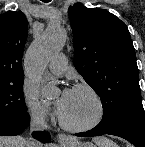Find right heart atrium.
Here are the masks:
<instances>
[{"label":"right heart atrium","mask_w":145,"mask_h":147,"mask_svg":"<svg viewBox=\"0 0 145 147\" xmlns=\"http://www.w3.org/2000/svg\"><path fill=\"white\" fill-rule=\"evenodd\" d=\"M23 100L30 120L37 125H45L51 119L49 107L40 100L37 90L24 85Z\"/></svg>","instance_id":"right-heart-atrium-1"}]
</instances>
